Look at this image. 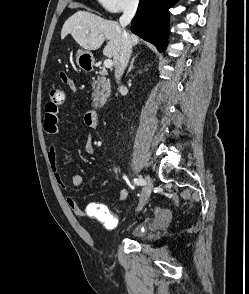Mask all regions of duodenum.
Here are the masks:
<instances>
[{"instance_id": "1", "label": "duodenum", "mask_w": 249, "mask_h": 294, "mask_svg": "<svg viewBox=\"0 0 249 294\" xmlns=\"http://www.w3.org/2000/svg\"><path fill=\"white\" fill-rule=\"evenodd\" d=\"M86 68L91 69V66L88 65ZM88 116H89L90 120L95 124V126H97L98 125V118H99L97 110L94 108L89 110Z\"/></svg>"}]
</instances>
